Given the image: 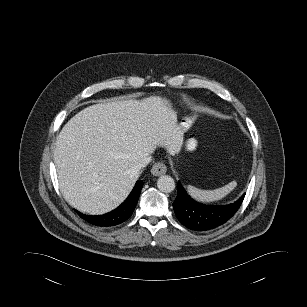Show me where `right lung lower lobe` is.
<instances>
[{"label": "right lung lower lobe", "instance_id": "obj_1", "mask_svg": "<svg viewBox=\"0 0 307 307\" xmlns=\"http://www.w3.org/2000/svg\"><path fill=\"white\" fill-rule=\"evenodd\" d=\"M143 186L142 181H137L128 198L115 210L98 216H89L76 211L88 223L97 227L115 226L126 221L133 213Z\"/></svg>", "mask_w": 307, "mask_h": 307}]
</instances>
